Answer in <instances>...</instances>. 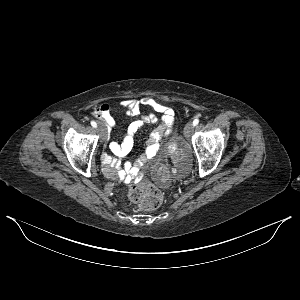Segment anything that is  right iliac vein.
<instances>
[{"mask_svg":"<svg viewBox=\"0 0 300 300\" xmlns=\"http://www.w3.org/2000/svg\"><path fill=\"white\" fill-rule=\"evenodd\" d=\"M99 136H100V141L103 142L106 139V131L105 128L103 126V124H99L98 129H97Z\"/></svg>","mask_w":300,"mask_h":300,"instance_id":"right-iliac-vein-1","label":"right iliac vein"}]
</instances>
